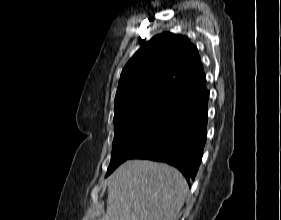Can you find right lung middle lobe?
<instances>
[{
	"instance_id": "obj_1",
	"label": "right lung middle lobe",
	"mask_w": 281,
	"mask_h": 220,
	"mask_svg": "<svg viewBox=\"0 0 281 220\" xmlns=\"http://www.w3.org/2000/svg\"><path fill=\"white\" fill-rule=\"evenodd\" d=\"M169 117L159 114H145L115 120L113 150L106 176L149 141Z\"/></svg>"
}]
</instances>
